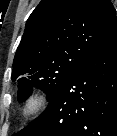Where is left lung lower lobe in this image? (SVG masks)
Instances as JSON below:
<instances>
[{"mask_svg": "<svg viewBox=\"0 0 117 136\" xmlns=\"http://www.w3.org/2000/svg\"><path fill=\"white\" fill-rule=\"evenodd\" d=\"M16 136H117V25Z\"/></svg>", "mask_w": 117, "mask_h": 136, "instance_id": "obj_1", "label": "left lung lower lobe"}]
</instances>
